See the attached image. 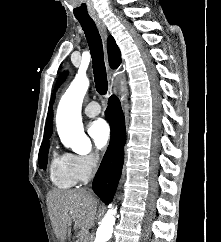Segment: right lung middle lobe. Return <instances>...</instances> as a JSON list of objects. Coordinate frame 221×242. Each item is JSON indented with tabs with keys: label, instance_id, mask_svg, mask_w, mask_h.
Masks as SVG:
<instances>
[{
	"label": "right lung middle lobe",
	"instance_id": "1",
	"mask_svg": "<svg viewBox=\"0 0 221 242\" xmlns=\"http://www.w3.org/2000/svg\"><path fill=\"white\" fill-rule=\"evenodd\" d=\"M43 138V142L41 144L40 150H39V166L40 168L46 169L47 166V159H48V150H49V144H48V139Z\"/></svg>",
	"mask_w": 221,
	"mask_h": 242
}]
</instances>
